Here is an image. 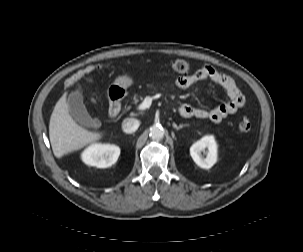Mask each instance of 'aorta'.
I'll list each match as a JSON object with an SVG mask.
<instances>
[{"mask_svg":"<svg viewBox=\"0 0 303 252\" xmlns=\"http://www.w3.org/2000/svg\"><path fill=\"white\" fill-rule=\"evenodd\" d=\"M149 136L154 140H160L164 136L163 128L160 126H152L149 131Z\"/></svg>","mask_w":303,"mask_h":252,"instance_id":"aorta-1","label":"aorta"}]
</instances>
